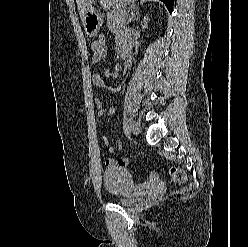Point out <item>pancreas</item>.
I'll return each instance as SVG.
<instances>
[{
  "label": "pancreas",
  "mask_w": 248,
  "mask_h": 247,
  "mask_svg": "<svg viewBox=\"0 0 248 247\" xmlns=\"http://www.w3.org/2000/svg\"><path fill=\"white\" fill-rule=\"evenodd\" d=\"M127 12L122 9H115L107 14V25L111 29L123 27L126 23Z\"/></svg>",
  "instance_id": "1"
}]
</instances>
